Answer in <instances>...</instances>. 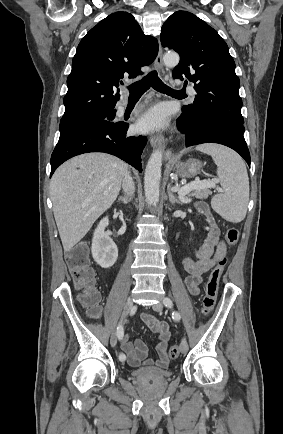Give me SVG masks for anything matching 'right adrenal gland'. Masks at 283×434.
<instances>
[{
	"mask_svg": "<svg viewBox=\"0 0 283 434\" xmlns=\"http://www.w3.org/2000/svg\"><path fill=\"white\" fill-rule=\"evenodd\" d=\"M130 200H131V198H127V197H125V196H121V197L118 198V202H122V203L125 204V205H126L127 203H129Z\"/></svg>",
	"mask_w": 283,
	"mask_h": 434,
	"instance_id": "right-adrenal-gland-1",
	"label": "right adrenal gland"
}]
</instances>
